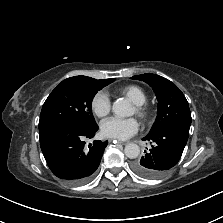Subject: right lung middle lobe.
<instances>
[{
  "mask_svg": "<svg viewBox=\"0 0 223 223\" xmlns=\"http://www.w3.org/2000/svg\"><path fill=\"white\" fill-rule=\"evenodd\" d=\"M114 80H97L87 76L65 79L43 104L39 129L58 122H71L86 128L96 127L91 109L92 100L99 90Z\"/></svg>",
  "mask_w": 223,
  "mask_h": 223,
  "instance_id": "dd1d6c3e",
  "label": "right lung middle lobe"
}]
</instances>
